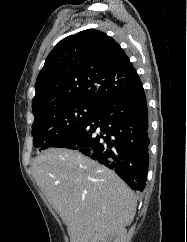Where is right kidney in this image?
Listing matches in <instances>:
<instances>
[{"mask_svg":"<svg viewBox=\"0 0 187 242\" xmlns=\"http://www.w3.org/2000/svg\"><path fill=\"white\" fill-rule=\"evenodd\" d=\"M94 242H128L127 230L125 228H120L108 235L106 238Z\"/></svg>","mask_w":187,"mask_h":242,"instance_id":"ca27d5eb","label":"right kidney"}]
</instances>
